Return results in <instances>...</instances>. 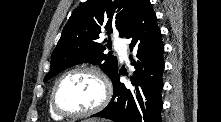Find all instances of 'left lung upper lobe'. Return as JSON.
Segmentation results:
<instances>
[{"label":"left lung upper lobe","mask_w":221,"mask_h":122,"mask_svg":"<svg viewBox=\"0 0 221 122\" xmlns=\"http://www.w3.org/2000/svg\"><path fill=\"white\" fill-rule=\"evenodd\" d=\"M138 1L87 0L75 9L51 55V68L44 81L85 62L100 64L101 70L112 79L118 71L117 58L103 53L109 44L99 43V34L105 31L109 35L117 30L120 37H125Z\"/></svg>","instance_id":"left-lung-upper-lobe-1"}]
</instances>
